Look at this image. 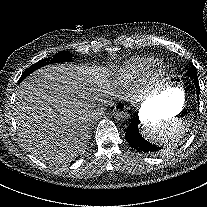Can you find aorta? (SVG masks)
<instances>
[{
	"label": "aorta",
	"mask_w": 207,
	"mask_h": 207,
	"mask_svg": "<svg viewBox=\"0 0 207 207\" xmlns=\"http://www.w3.org/2000/svg\"><path fill=\"white\" fill-rule=\"evenodd\" d=\"M131 118V115L129 112H127L125 109H118L114 114V119L119 124H124L128 122Z\"/></svg>",
	"instance_id": "obj_1"
}]
</instances>
